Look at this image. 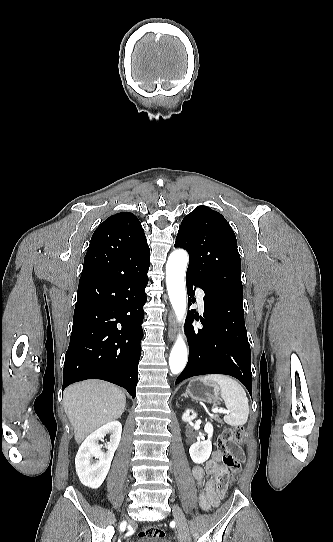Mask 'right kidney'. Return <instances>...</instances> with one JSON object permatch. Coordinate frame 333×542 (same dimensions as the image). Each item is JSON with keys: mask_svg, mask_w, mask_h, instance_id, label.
<instances>
[{"mask_svg": "<svg viewBox=\"0 0 333 542\" xmlns=\"http://www.w3.org/2000/svg\"><path fill=\"white\" fill-rule=\"evenodd\" d=\"M121 432L120 422H108L87 436L81 444L76 454L75 466L77 476L83 486L92 490H97L102 486L110 470L114 452L119 446ZM106 434H111L110 442L101 446L99 440H102ZM101 448H106L107 452H102ZM93 458H99V460L93 462Z\"/></svg>", "mask_w": 333, "mask_h": 542, "instance_id": "ca27d5eb", "label": "right kidney"}]
</instances>
